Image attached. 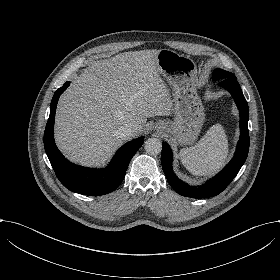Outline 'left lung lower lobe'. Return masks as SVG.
I'll return each mask as SVG.
<instances>
[{
    "label": "left lung lower lobe",
    "instance_id": "1",
    "mask_svg": "<svg viewBox=\"0 0 280 280\" xmlns=\"http://www.w3.org/2000/svg\"><path fill=\"white\" fill-rule=\"evenodd\" d=\"M219 85L226 88L233 96L240 112V139L233 159L206 184L199 187L189 186L176 177L172 170V152L169 145L163 142L161 163L168 183L183 196L192 198H207L221 193L234 179L244 164L249 150L248 120L249 109L241 87L237 81L226 79L219 82Z\"/></svg>",
    "mask_w": 280,
    "mask_h": 280
}]
</instances>
